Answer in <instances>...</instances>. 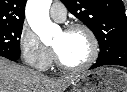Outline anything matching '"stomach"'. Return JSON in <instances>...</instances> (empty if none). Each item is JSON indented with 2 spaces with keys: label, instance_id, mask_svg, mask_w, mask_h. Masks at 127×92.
I'll use <instances>...</instances> for the list:
<instances>
[{
  "label": "stomach",
  "instance_id": "1",
  "mask_svg": "<svg viewBox=\"0 0 127 92\" xmlns=\"http://www.w3.org/2000/svg\"><path fill=\"white\" fill-rule=\"evenodd\" d=\"M71 92H127V73L116 68H101L78 77Z\"/></svg>",
  "mask_w": 127,
  "mask_h": 92
}]
</instances>
